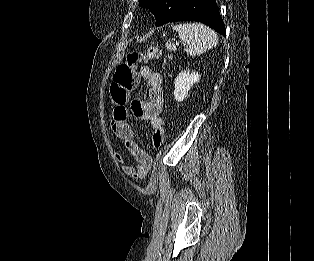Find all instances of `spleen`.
<instances>
[{
	"label": "spleen",
	"instance_id": "3e777b00",
	"mask_svg": "<svg viewBox=\"0 0 314 261\" xmlns=\"http://www.w3.org/2000/svg\"><path fill=\"white\" fill-rule=\"evenodd\" d=\"M179 38L187 45L186 51L191 56H196L212 49L218 43L217 34L201 23H185L174 25Z\"/></svg>",
	"mask_w": 314,
	"mask_h": 261
}]
</instances>
